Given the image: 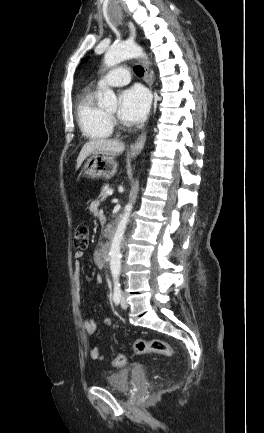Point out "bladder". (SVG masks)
Returning a JSON list of instances; mask_svg holds the SVG:
<instances>
[{
  "instance_id": "bladder-1",
  "label": "bladder",
  "mask_w": 264,
  "mask_h": 433,
  "mask_svg": "<svg viewBox=\"0 0 264 433\" xmlns=\"http://www.w3.org/2000/svg\"><path fill=\"white\" fill-rule=\"evenodd\" d=\"M105 387L119 393H126L129 390V371L122 370L107 375Z\"/></svg>"
}]
</instances>
